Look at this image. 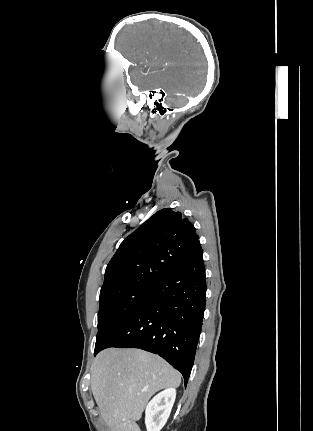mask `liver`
I'll return each instance as SVG.
<instances>
[{
  "label": "liver",
  "mask_w": 313,
  "mask_h": 431,
  "mask_svg": "<svg viewBox=\"0 0 313 431\" xmlns=\"http://www.w3.org/2000/svg\"><path fill=\"white\" fill-rule=\"evenodd\" d=\"M181 383L165 360L140 349L101 351L91 366V389L110 431H140L138 421L159 390Z\"/></svg>",
  "instance_id": "obj_1"
}]
</instances>
